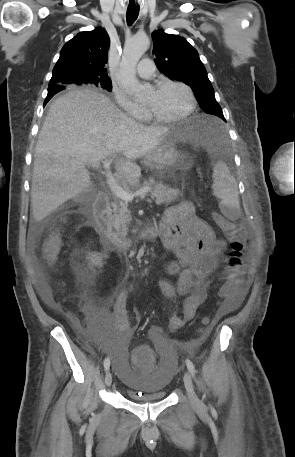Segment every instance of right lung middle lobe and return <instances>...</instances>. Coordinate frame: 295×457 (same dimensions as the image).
<instances>
[{
    "mask_svg": "<svg viewBox=\"0 0 295 457\" xmlns=\"http://www.w3.org/2000/svg\"><path fill=\"white\" fill-rule=\"evenodd\" d=\"M88 84L101 86L102 88L107 89L108 91L112 90L111 80H93V81H90V83H88Z\"/></svg>",
    "mask_w": 295,
    "mask_h": 457,
    "instance_id": "right-lung-middle-lobe-1",
    "label": "right lung middle lobe"
}]
</instances>
